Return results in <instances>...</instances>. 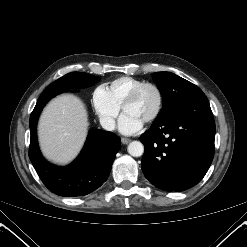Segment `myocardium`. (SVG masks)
Instances as JSON below:
<instances>
[{
    "label": "myocardium",
    "instance_id": "obj_1",
    "mask_svg": "<svg viewBox=\"0 0 247 247\" xmlns=\"http://www.w3.org/2000/svg\"><path fill=\"white\" fill-rule=\"evenodd\" d=\"M146 88H152L157 94V106L153 114L146 119L145 123L154 122L161 114L163 105H164V95L162 89L155 83L152 82H144L137 87H135L131 93L127 96L122 104V110L124 111L125 107L131 103H133L141 94V92Z\"/></svg>",
    "mask_w": 247,
    "mask_h": 247
}]
</instances>
